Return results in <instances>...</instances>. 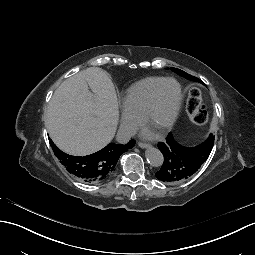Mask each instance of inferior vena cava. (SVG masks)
I'll use <instances>...</instances> for the list:
<instances>
[{
    "label": "inferior vena cava",
    "mask_w": 255,
    "mask_h": 255,
    "mask_svg": "<svg viewBox=\"0 0 255 255\" xmlns=\"http://www.w3.org/2000/svg\"><path fill=\"white\" fill-rule=\"evenodd\" d=\"M136 134V128L130 125H121L117 133V141L119 143H127L132 136Z\"/></svg>",
    "instance_id": "1"
}]
</instances>
